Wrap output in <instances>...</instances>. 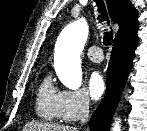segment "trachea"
Instances as JSON below:
<instances>
[{
  "label": "trachea",
  "mask_w": 147,
  "mask_h": 131,
  "mask_svg": "<svg viewBox=\"0 0 147 131\" xmlns=\"http://www.w3.org/2000/svg\"><path fill=\"white\" fill-rule=\"evenodd\" d=\"M94 1L97 3L98 11L100 13L98 19L100 20V22L106 20L107 23L109 24V17L106 11V6L104 4V1L103 0H94ZM112 41H113V31L111 30L110 32L105 33L103 37V44L105 46H109L112 44Z\"/></svg>",
  "instance_id": "1"
}]
</instances>
